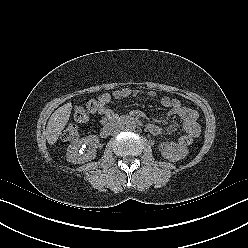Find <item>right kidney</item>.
<instances>
[{
  "mask_svg": "<svg viewBox=\"0 0 248 248\" xmlns=\"http://www.w3.org/2000/svg\"><path fill=\"white\" fill-rule=\"evenodd\" d=\"M98 144L99 138L96 135H89L85 138L76 140L74 143L69 145L67 149V161L74 164H80L94 159ZM86 145H88L89 148L86 153H83Z\"/></svg>",
  "mask_w": 248,
  "mask_h": 248,
  "instance_id": "right-kidney-1",
  "label": "right kidney"
}]
</instances>
